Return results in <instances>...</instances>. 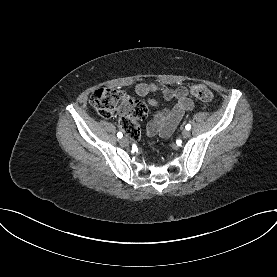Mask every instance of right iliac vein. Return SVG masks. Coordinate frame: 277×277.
Here are the masks:
<instances>
[{
    "label": "right iliac vein",
    "instance_id": "63e3f726",
    "mask_svg": "<svg viewBox=\"0 0 277 277\" xmlns=\"http://www.w3.org/2000/svg\"><path fill=\"white\" fill-rule=\"evenodd\" d=\"M119 143L121 146H127L129 144V141L126 137H123L119 140Z\"/></svg>",
    "mask_w": 277,
    "mask_h": 277
}]
</instances>
